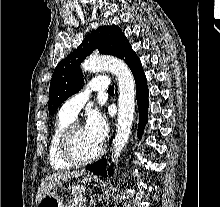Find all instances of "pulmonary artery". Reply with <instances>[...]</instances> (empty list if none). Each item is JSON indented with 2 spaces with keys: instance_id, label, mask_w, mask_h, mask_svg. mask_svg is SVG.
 <instances>
[{
  "instance_id": "1",
  "label": "pulmonary artery",
  "mask_w": 220,
  "mask_h": 207,
  "mask_svg": "<svg viewBox=\"0 0 220 207\" xmlns=\"http://www.w3.org/2000/svg\"><path fill=\"white\" fill-rule=\"evenodd\" d=\"M109 79L105 76H98L92 79L87 86L76 95L65 101L61 108L60 113L74 119L81 108L89 100L92 92H101L109 88Z\"/></svg>"
}]
</instances>
